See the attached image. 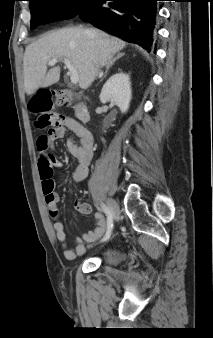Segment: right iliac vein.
Here are the masks:
<instances>
[{
    "instance_id": "63e3f726",
    "label": "right iliac vein",
    "mask_w": 213,
    "mask_h": 338,
    "mask_svg": "<svg viewBox=\"0 0 213 338\" xmlns=\"http://www.w3.org/2000/svg\"><path fill=\"white\" fill-rule=\"evenodd\" d=\"M107 205H108L109 211H110L113 219L117 220L119 218V215H120V208H119L118 204L113 199L108 198L107 199Z\"/></svg>"
}]
</instances>
